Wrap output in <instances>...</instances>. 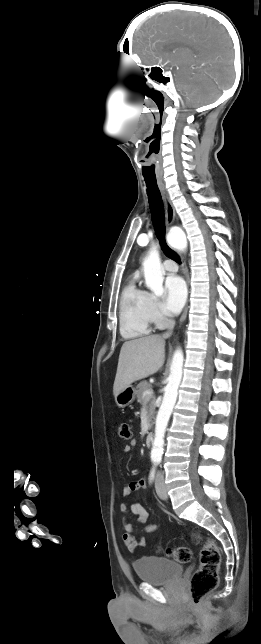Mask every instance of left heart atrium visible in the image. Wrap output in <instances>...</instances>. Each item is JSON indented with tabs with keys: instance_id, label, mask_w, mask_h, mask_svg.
Instances as JSON below:
<instances>
[{
	"instance_id": "obj_1",
	"label": "left heart atrium",
	"mask_w": 261,
	"mask_h": 644,
	"mask_svg": "<svg viewBox=\"0 0 261 644\" xmlns=\"http://www.w3.org/2000/svg\"><path fill=\"white\" fill-rule=\"evenodd\" d=\"M186 286L183 279L177 275L167 277L165 281V297L163 307L169 315L178 314L186 300Z\"/></svg>"
}]
</instances>
